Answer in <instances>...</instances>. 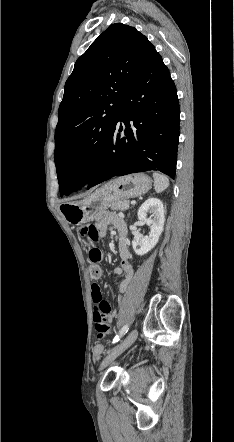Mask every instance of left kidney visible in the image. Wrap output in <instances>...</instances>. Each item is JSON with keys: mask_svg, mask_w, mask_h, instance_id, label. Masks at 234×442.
I'll return each mask as SVG.
<instances>
[{"mask_svg": "<svg viewBox=\"0 0 234 442\" xmlns=\"http://www.w3.org/2000/svg\"><path fill=\"white\" fill-rule=\"evenodd\" d=\"M151 214V217H148ZM138 220L150 227L148 236H137L132 241V247L137 255H144L151 251L159 241L165 222V210L163 203L158 198L147 199L138 210Z\"/></svg>", "mask_w": 234, "mask_h": 442, "instance_id": "obj_1", "label": "left kidney"}]
</instances>
